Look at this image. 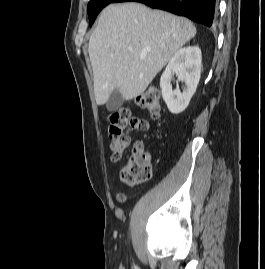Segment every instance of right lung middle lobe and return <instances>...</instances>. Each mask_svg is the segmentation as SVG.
<instances>
[{
  "label": "right lung middle lobe",
  "instance_id": "dd1d6c3e",
  "mask_svg": "<svg viewBox=\"0 0 265 269\" xmlns=\"http://www.w3.org/2000/svg\"><path fill=\"white\" fill-rule=\"evenodd\" d=\"M114 0H90L87 7V13L90 20V26L95 21L97 14L108 4Z\"/></svg>",
  "mask_w": 265,
  "mask_h": 269
}]
</instances>
